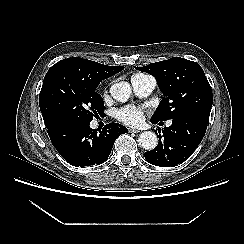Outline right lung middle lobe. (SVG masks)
Segmentation results:
<instances>
[{
	"label": "right lung middle lobe",
	"mask_w": 244,
	"mask_h": 244,
	"mask_svg": "<svg viewBox=\"0 0 244 244\" xmlns=\"http://www.w3.org/2000/svg\"><path fill=\"white\" fill-rule=\"evenodd\" d=\"M88 86L62 72H47L39 95V106L47 128L69 121L91 122L104 115V102Z\"/></svg>",
	"instance_id": "dd1d6c3e"
}]
</instances>
